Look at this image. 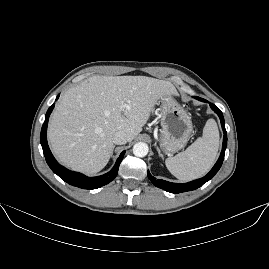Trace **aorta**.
<instances>
[{
	"label": "aorta",
	"instance_id": "762f6f07",
	"mask_svg": "<svg viewBox=\"0 0 269 269\" xmlns=\"http://www.w3.org/2000/svg\"><path fill=\"white\" fill-rule=\"evenodd\" d=\"M148 153V146L145 143H136L133 146V154L136 157H145Z\"/></svg>",
	"mask_w": 269,
	"mask_h": 269
}]
</instances>
